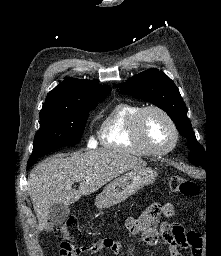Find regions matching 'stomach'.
Here are the masks:
<instances>
[{
	"label": "stomach",
	"mask_w": 221,
	"mask_h": 256,
	"mask_svg": "<svg viewBox=\"0 0 221 256\" xmlns=\"http://www.w3.org/2000/svg\"><path fill=\"white\" fill-rule=\"evenodd\" d=\"M157 177V172L149 167L134 169L121 177L111 181L96 197L95 204L98 208L114 206L137 192L140 188L152 184Z\"/></svg>",
	"instance_id": "1"
}]
</instances>
